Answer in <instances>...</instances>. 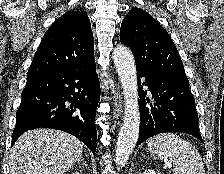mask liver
I'll list each match as a JSON object with an SVG mask.
<instances>
[{
  "instance_id": "1",
  "label": "liver",
  "mask_w": 224,
  "mask_h": 174,
  "mask_svg": "<svg viewBox=\"0 0 224 174\" xmlns=\"http://www.w3.org/2000/svg\"><path fill=\"white\" fill-rule=\"evenodd\" d=\"M83 143L55 129L23 133L11 149L10 174H64L81 157Z\"/></svg>"
}]
</instances>
